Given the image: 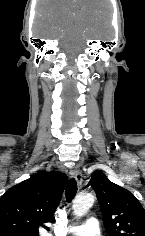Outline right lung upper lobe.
Instances as JSON below:
<instances>
[{
    "mask_svg": "<svg viewBox=\"0 0 145 236\" xmlns=\"http://www.w3.org/2000/svg\"><path fill=\"white\" fill-rule=\"evenodd\" d=\"M66 181L64 173L41 171L10 188L0 198V236H39L40 226L55 222Z\"/></svg>",
    "mask_w": 145,
    "mask_h": 236,
    "instance_id": "right-lung-upper-lobe-1",
    "label": "right lung upper lobe"
}]
</instances>
